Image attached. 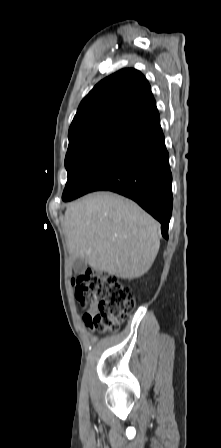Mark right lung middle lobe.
<instances>
[{"label": "right lung middle lobe", "instance_id": "1", "mask_svg": "<svg viewBox=\"0 0 221 448\" xmlns=\"http://www.w3.org/2000/svg\"><path fill=\"white\" fill-rule=\"evenodd\" d=\"M115 144L113 141L95 142L67 151L65 167L68 180L63 201H71L78 196L84 183Z\"/></svg>", "mask_w": 221, "mask_h": 448}]
</instances>
